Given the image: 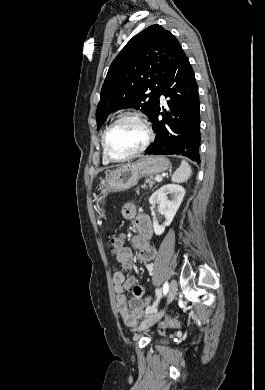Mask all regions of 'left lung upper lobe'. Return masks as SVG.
Masks as SVG:
<instances>
[{
	"instance_id": "obj_1",
	"label": "left lung upper lobe",
	"mask_w": 265,
	"mask_h": 390,
	"mask_svg": "<svg viewBox=\"0 0 265 390\" xmlns=\"http://www.w3.org/2000/svg\"><path fill=\"white\" fill-rule=\"evenodd\" d=\"M182 53L175 36L158 24L135 35L109 67L96 111L98 130L119 109L133 107L151 119L158 92Z\"/></svg>"
}]
</instances>
